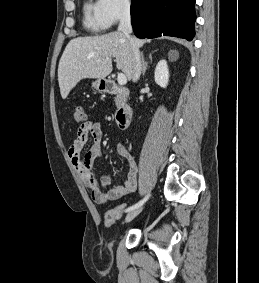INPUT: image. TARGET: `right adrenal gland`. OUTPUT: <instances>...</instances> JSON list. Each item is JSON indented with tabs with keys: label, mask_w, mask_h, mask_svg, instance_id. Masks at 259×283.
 <instances>
[{
	"label": "right adrenal gland",
	"mask_w": 259,
	"mask_h": 283,
	"mask_svg": "<svg viewBox=\"0 0 259 283\" xmlns=\"http://www.w3.org/2000/svg\"><path fill=\"white\" fill-rule=\"evenodd\" d=\"M149 59L150 60L152 59L151 54L149 55ZM141 62H142V76H144L148 66V61H145L143 52L141 53Z\"/></svg>",
	"instance_id": "1"
}]
</instances>
